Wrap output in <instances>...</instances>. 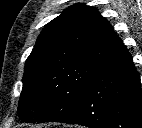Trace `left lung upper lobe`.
Here are the masks:
<instances>
[{
	"label": "left lung upper lobe",
	"mask_w": 142,
	"mask_h": 128,
	"mask_svg": "<svg viewBox=\"0 0 142 128\" xmlns=\"http://www.w3.org/2000/svg\"><path fill=\"white\" fill-rule=\"evenodd\" d=\"M124 47L96 8L75 4L66 9L45 26L26 60L20 119L49 122L65 118L89 81Z\"/></svg>",
	"instance_id": "1"
}]
</instances>
